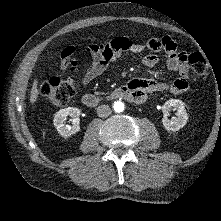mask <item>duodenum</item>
Listing matches in <instances>:
<instances>
[{
  "label": "duodenum",
  "instance_id": "obj_1",
  "mask_svg": "<svg viewBox=\"0 0 221 221\" xmlns=\"http://www.w3.org/2000/svg\"><path fill=\"white\" fill-rule=\"evenodd\" d=\"M118 98L126 99L129 101H135V96L133 92L130 90V88L127 85H124L113 90L112 92H110L105 96H99L96 94L87 93L83 95L82 103L89 108H94L100 105L102 102Z\"/></svg>",
  "mask_w": 221,
  "mask_h": 221
}]
</instances>
